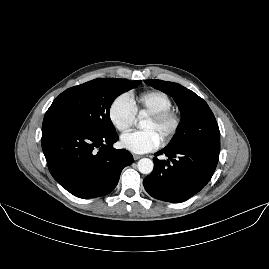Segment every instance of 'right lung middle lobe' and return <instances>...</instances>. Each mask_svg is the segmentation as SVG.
<instances>
[{
  "instance_id": "obj_1",
  "label": "right lung middle lobe",
  "mask_w": 269,
  "mask_h": 269,
  "mask_svg": "<svg viewBox=\"0 0 269 269\" xmlns=\"http://www.w3.org/2000/svg\"><path fill=\"white\" fill-rule=\"evenodd\" d=\"M141 81L98 78L62 92L48 113L64 115L99 134H115L109 110L117 96L139 85Z\"/></svg>"
}]
</instances>
